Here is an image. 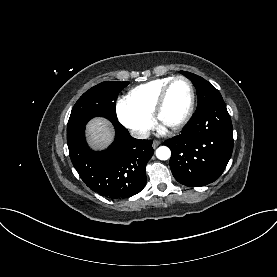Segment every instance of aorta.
<instances>
[{"instance_id": "762f6f07", "label": "aorta", "mask_w": 277, "mask_h": 277, "mask_svg": "<svg viewBox=\"0 0 277 277\" xmlns=\"http://www.w3.org/2000/svg\"><path fill=\"white\" fill-rule=\"evenodd\" d=\"M156 156L160 160H167L171 156V151L167 146H160L156 150Z\"/></svg>"}]
</instances>
